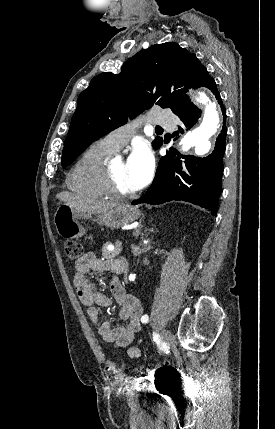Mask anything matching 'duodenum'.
I'll return each mask as SVG.
<instances>
[{"instance_id": "410a0bca", "label": "duodenum", "mask_w": 275, "mask_h": 429, "mask_svg": "<svg viewBox=\"0 0 275 429\" xmlns=\"http://www.w3.org/2000/svg\"><path fill=\"white\" fill-rule=\"evenodd\" d=\"M125 269V263L123 261H118L115 267L116 273H122Z\"/></svg>"}]
</instances>
